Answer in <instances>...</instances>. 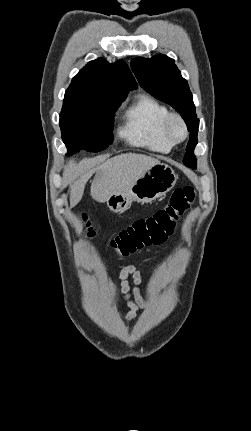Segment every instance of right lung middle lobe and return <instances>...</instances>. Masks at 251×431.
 <instances>
[{"mask_svg":"<svg viewBox=\"0 0 251 431\" xmlns=\"http://www.w3.org/2000/svg\"><path fill=\"white\" fill-rule=\"evenodd\" d=\"M124 100L67 89L59 121L67 155L80 149L98 152L111 144L113 116Z\"/></svg>","mask_w":251,"mask_h":431,"instance_id":"dd1d6c3e","label":"right lung middle lobe"}]
</instances>
